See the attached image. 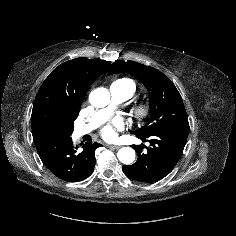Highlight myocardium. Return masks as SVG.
<instances>
[{
  "instance_id": "obj_1",
  "label": "myocardium",
  "mask_w": 236,
  "mask_h": 236,
  "mask_svg": "<svg viewBox=\"0 0 236 236\" xmlns=\"http://www.w3.org/2000/svg\"><path fill=\"white\" fill-rule=\"evenodd\" d=\"M130 113L136 121H142L149 113V106L144 102L136 103L132 106Z\"/></svg>"
}]
</instances>
